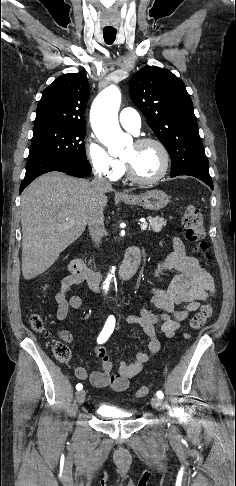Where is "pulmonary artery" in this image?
Listing matches in <instances>:
<instances>
[{"label":"pulmonary artery","instance_id":"1","mask_svg":"<svg viewBox=\"0 0 236 486\" xmlns=\"http://www.w3.org/2000/svg\"><path fill=\"white\" fill-rule=\"evenodd\" d=\"M121 126L133 134H137L141 127V119L133 108H124L119 114Z\"/></svg>","mask_w":236,"mask_h":486}]
</instances>
